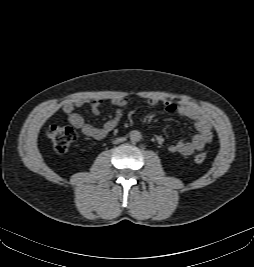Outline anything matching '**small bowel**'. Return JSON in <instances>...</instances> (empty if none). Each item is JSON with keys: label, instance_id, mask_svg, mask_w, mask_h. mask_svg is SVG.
I'll return each mask as SVG.
<instances>
[{"label": "small bowel", "instance_id": "c3829d8e", "mask_svg": "<svg viewBox=\"0 0 254 267\" xmlns=\"http://www.w3.org/2000/svg\"><path fill=\"white\" fill-rule=\"evenodd\" d=\"M117 107L111 119L107 120L102 126L95 127L87 123L84 118L76 112V107L84 104L83 100L66 103L63 112L67 121L81 132L94 139H102L111 133L119 124L123 117V108L128 104L126 97H117L112 100ZM148 105L155 106L159 103L156 98L147 100ZM101 101L95 100L90 105L92 114L98 115L101 109ZM163 108L168 113H177L178 115L193 121L196 134L189 141L179 140L169 146L171 153H177L184 156H190L197 151H201L212 140V125L208 117L195 105L192 104H175L169 100L162 101ZM159 143L163 142L161 136L157 137Z\"/></svg>", "mask_w": 254, "mask_h": 267}]
</instances>
